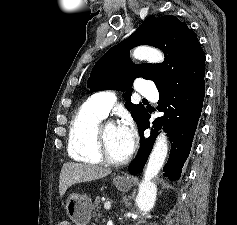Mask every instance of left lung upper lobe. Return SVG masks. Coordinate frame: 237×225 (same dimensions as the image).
<instances>
[{
    "mask_svg": "<svg viewBox=\"0 0 237 225\" xmlns=\"http://www.w3.org/2000/svg\"><path fill=\"white\" fill-rule=\"evenodd\" d=\"M151 45L165 53L160 64L136 65L129 50L138 45ZM205 76V54L196 34L175 16L148 17L126 40L112 47L93 67L88 87L91 91L116 89L126 91L125 107L137 123L146 108L131 103L133 81L142 77L153 80L158 91L174 90Z\"/></svg>",
    "mask_w": 237,
    "mask_h": 225,
    "instance_id": "left-lung-upper-lobe-1",
    "label": "left lung upper lobe"
}]
</instances>
